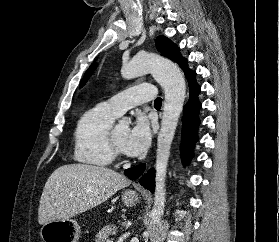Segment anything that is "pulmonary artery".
<instances>
[{
    "mask_svg": "<svg viewBox=\"0 0 279 242\" xmlns=\"http://www.w3.org/2000/svg\"><path fill=\"white\" fill-rule=\"evenodd\" d=\"M155 96L156 90L153 85L141 84L114 95L104 104L117 116H120L127 109L151 101Z\"/></svg>",
    "mask_w": 279,
    "mask_h": 242,
    "instance_id": "obj_1",
    "label": "pulmonary artery"
}]
</instances>
